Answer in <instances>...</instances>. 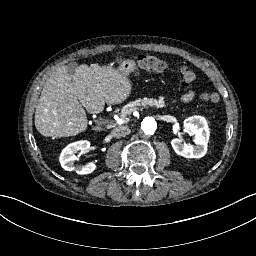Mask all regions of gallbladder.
Listing matches in <instances>:
<instances>
[{"label": "gallbladder", "mask_w": 256, "mask_h": 256, "mask_svg": "<svg viewBox=\"0 0 256 256\" xmlns=\"http://www.w3.org/2000/svg\"><path fill=\"white\" fill-rule=\"evenodd\" d=\"M68 66H69V69L73 72L75 67L77 66V64L76 63H70Z\"/></svg>", "instance_id": "1"}]
</instances>
